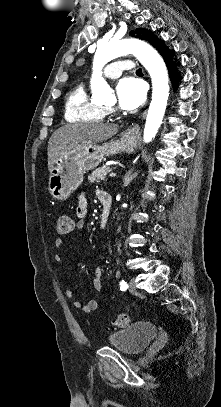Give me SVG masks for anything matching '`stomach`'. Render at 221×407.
I'll use <instances>...</instances> for the list:
<instances>
[{"instance_id":"1","label":"stomach","mask_w":221,"mask_h":407,"mask_svg":"<svg viewBox=\"0 0 221 407\" xmlns=\"http://www.w3.org/2000/svg\"><path fill=\"white\" fill-rule=\"evenodd\" d=\"M138 134L127 130L120 139L102 144L87 145L62 153L50 171L48 189L57 200H65L83 181L85 171L97 167L105 156L119 152L133 153Z\"/></svg>"}]
</instances>
